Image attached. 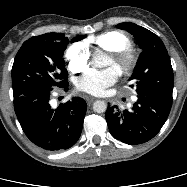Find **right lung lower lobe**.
I'll return each instance as SVG.
<instances>
[{
  "label": "right lung lower lobe",
  "instance_id": "1",
  "mask_svg": "<svg viewBox=\"0 0 187 187\" xmlns=\"http://www.w3.org/2000/svg\"><path fill=\"white\" fill-rule=\"evenodd\" d=\"M68 82L61 88L68 90ZM53 88L33 89L14 98V108L26 136L37 146L58 151L68 149L79 139L86 113V102L79 97L51 109Z\"/></svg>",
  "mask_w": 187,
  "mask_h": 187
}]
</instances>
